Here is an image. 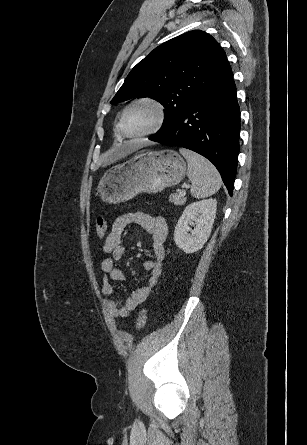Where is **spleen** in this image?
Masks as SVG:
<instances>
[{
  "label": "spleen",
  "instance_id": "spleen-1",
  "mask_svg": "<svg viewBox=\"0 0 307 445\" xmlns=\"http://www.w3.org/2000/svg\"><path fill=\"white\" fill-rule=\"evenodd\" d=\"M188 162V178L192 182L191 194L195 198H206L219 190L221 176L214 164L188 148H179Z\"/></svg>",
  "mask_w": 307,
  "mask_h": 445
}]
</instances>
